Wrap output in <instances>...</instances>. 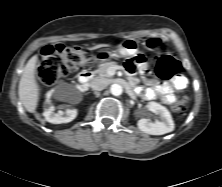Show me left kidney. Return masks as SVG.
I'll return each instance as SVG.
<instances>
[{"label": "left kidney", "mask_w": 222, "mask_h": 187, "mask_svg": "<svg viewBox=\"0 0 222 187\" xmlns=\"http://www.w3.org/2000/svg\"><path fill=\"white\" fill-rule=\"evenodd\" d=\"M149 111L159 115V120L152 122L150 119L142 118L138 121V128L151 135H163L174 130V122L170 112L166 107L156 102H149Z\"/></svg>", "instance_id": "left-kidney-1"}]
</instances>
